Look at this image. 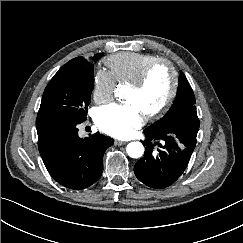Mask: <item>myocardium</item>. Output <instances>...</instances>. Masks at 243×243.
Listing matches in <instances>:
<instances>
[{"label": "myocardium", "instance_id": "obj_1", "mask_svg": "<svg viewBox=\"0 0 243 243\" xmlns=\"http://www.w3.org/2000/svg\"><path fill=\"white\" fill-rule=\"evenodd\" d=\"M160 64H165L169 67L170 72H171V84H170L168 93L165 96V98L163 99V101L159 105L154 107L153 109L144 113V116L146 118H152V117L158 115L159 113L164 111L169 106V104L172 102V100L175 96V93H176L177 85H178V72H177L174 64L166 58H157V59L153 60L152 62L148 63L142 69V71L139 73V75L134 80H132L130 83H128L129 87H132L137 90L141 89L144 86V84L146 83L147 78H148L149 74L151 73V71Z\"/></svg>", "mask_w": 243, "mask_h": 243}]
</instances>
